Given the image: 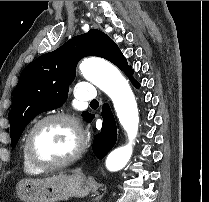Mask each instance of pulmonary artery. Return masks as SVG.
Masks as SVG:
<instances>
[{
	"instance_id": "obj_1",
	"label": "pulmonary artery",
	"mask_w": 209,
	"mask_h": 202,
	"mask_svg": "<svg viewBox=\"0 0 209 202\" xmlns=\"http://www.w3.org/2000/svg\"><path fill=\"white\" fill-rule=\"evenodd\" d=\"M77 89L78 100L91 102L97 99L96 89L88 81L78 84Z\"/></svg>"
}]
</instances>
